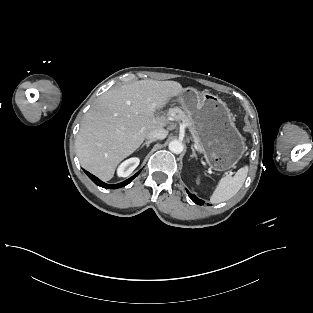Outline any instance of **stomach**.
<instances>
[{"mask_svg": "<svg viewBox=\"0 0 313 313\" xmlns=\"http://www.w3.org/2000/svg\"><path fill=\"white\" fill-rule=\"evenodd\" d=\"M175 101L191 118L209 167L215 171L232 168L245 151V140L226 103L191 87L184 89Z\"/></svg>", "mask_w": 313, "mask_h": 313, "instance_id": "1", "label": "stomach"}]
</instances>
